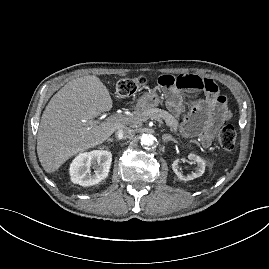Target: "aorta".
Returning a JSON list of instances; mask_svg holds the SVG:
<instances>
[{"mask_svg": "<svg viewBox=\"0 0 269 269\" xmlns=\"http://www.w3.org/2000/svg\"><path fill=\"white\" fill-rule=\"evenodd\" d=\"M140 140L142 145L149 147L155 144L156 138L152 134H143Z\"/></svg>", "mask_w": 269, "mask_h": 269, "instance_id": "1", "label": "aorta"}]
</instances>
